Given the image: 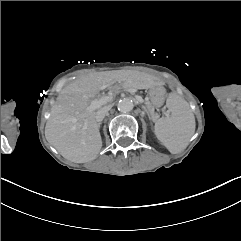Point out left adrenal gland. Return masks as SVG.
Wrapping results in <instances>:
<instances>
[{"instance_id": "obj_1", "label": "left adrenal gland", "mask_w": 241, "mask_h": 241, "mask_svg": "<svg viewBox=\"0 0 241 241\" xmlns=\"http://www.w3.org/2000/svg\"><path fill=\"white\" fill-rule=\"evenodd\" d=\"M148 117H149V120L151 121L152 120V118L150 117V115L148 114Z\"/></svg>"}]
</instances>
